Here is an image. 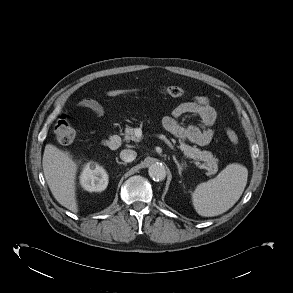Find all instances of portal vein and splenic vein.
<instances>
[{
  "instance_id": "1",
  "label": "portal vein and splenic vein",
  "mask_w": 293,
  "mask_h": 293,
  "mask_svg": "<svg viewBox=\"0 0 293 293\" xmlns=\"http://www.w3.org/2000/svg\"><path fill=\"white\" fill-rule=\"evenodd\" d=\"M136 136L137 139H141L142 136V131L140 129L137 130L136 132ZM158 138H160L161 140H163L171 149H175L173 144L171 143V141L169 139H167L164 135H158Z\"/></svg>"
}]
</instances>
